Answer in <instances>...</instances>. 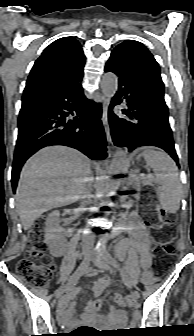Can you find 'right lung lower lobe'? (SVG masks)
I'll return each mask as SVG.
<instances>
[{"label": "right lung lower lobe", "mask_w": 194, "mask_h": 336, "mask_svg": "<svg viewBox=\"0 0 194 336\" xmlns=\"http://www.w3.org/2000/svg\"><path fill=\"white\" fill-rule=\"evenodd\" d=\"M82 77L83 73L54 91L22 101L12 167L14 193L23 164L45 146L66 145L93 160L107 157L101 108L84 96Z\"/></svg>", "instance_id": "right-lung-lower-lobe-1"}]
</instances>
